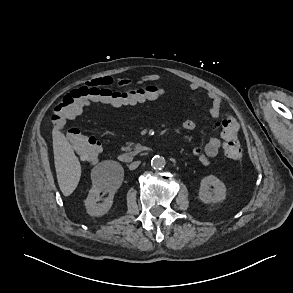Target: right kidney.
I'll return each instance as SVG.
<instances>
[{
  "mask_svg": "<svg viewBox=\"0 0 293 293\" xmlns=\"http://www.w3.org/2000/svg\"><path fill=\"white\" fill-rule=\"evenodd\" d=\"M105 164L109 168L107 177L94 181L84 201L86 211L90 216H103L110 210L113 204L114 193L120 187L123 179V168L117 162L106 161ZM115 173H117V180L114 178ZM103 191L109 192V196L102 203H98L100 193Z\"/></svg>",
  "mask_w": 293,
  "mask_h": 293,
  "instance_id": "1",
  "label": "right kidney"
}]
</instances>
